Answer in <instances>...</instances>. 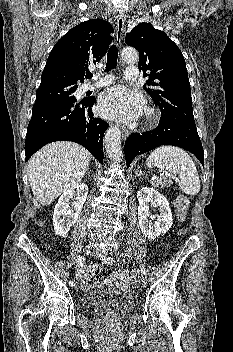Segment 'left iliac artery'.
I'll list each match as a JSON object with an SVG mask.
<instances>
[{
	"label": "left iliac artery",
	"instance_id": "left-iliac-artery-1",
	"mask_svg": "<svg viewBox=\"0 0 233 352\" xmlns=\"http://www.w3.org/2000/svg\"><path fill=\"white\" fill-rule=\"evenodd\" d=\"M102 259L107 264H110L113 261V259L107 253H105V255L103 256ZM141 275H142L143 278L147 277V274H146V271L144 270V268H141Z\"/></svg>",
	"mask_w": 233,
	"mask_h": 352
}]
</instances>
